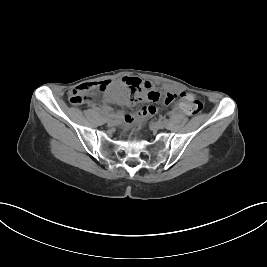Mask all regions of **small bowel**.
Segmentation results:
<instances>
[{
  "label": "small bowel",
  "instance_id": "small-bowel-1",
  "mask_svg": "<svg viewBox=\"0 0 267 267\" xmlns=\"http://www.w3.org/2000/svg\"><path fill=\"white\" fill-rule=\"evenodd\" d=\"M101 83H103V82H90V83H87V84H89V86L92 88V90H98L99 89V85ZM163 88L165 90H167V91H170L171 94H175V95L184 94L180 89H177V88H172L170 86H164ZM71 91L69 92V94L71 93ZM111 97L118 104L128 105L127 95H126V93L124 91H122L120 89L114 91L111 94ZM99 109H101V110H103L105 112H109L110 111V107L108 105H106V104H101L99 106ZM173 110L175 112H179V111L183 110L182 103L176 105ZM156 111L157 110H156V108L154 106H144L137 113H135V114H133V113L125 114V115H122V118L126 123H132L137 118H143L145 116L153 115V114L156 113Z\"/></svg>",
  "mask_w": 267,
  "mask_h": 267
}]
</instances>
